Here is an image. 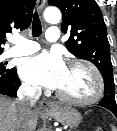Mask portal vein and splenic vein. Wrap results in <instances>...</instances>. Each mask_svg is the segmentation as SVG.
Returning <instances> with one entry per match:
<instances>
[{
    "label": "portal vein and splenic vein",
    "mask_w": 117,
    "mask_h": 131,
    "mask_svg": "<svg viewBox=\"0 0 117 131\" xmlns=\"http://www.w3.org/2000/svg\"><path fill=\"white\" fill-rule=\"evenodd\" d=\"M57 131H62V129H57Z\"/></svg>",
    "instance_id": "obj_1"
}]
</instances>
